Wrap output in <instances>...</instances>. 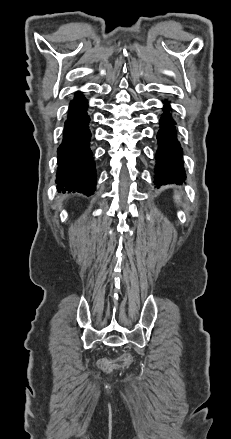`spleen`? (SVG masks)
Segmentation results:
<instances>
[{"instance_id": "spleen-1", "label": "spleen", "mask_w": 231, "mask_h": 439, "mask_svg": "<svg viewBox=\"0 0 231 439\" xmlns=\"http://www.w3.org/2000/svg\"><path fill=\"white\" fill-rule=\"evenodd\" d=\"M175 199L176 200H179L180 199V196L177 194V195H175Z\"/></svg>"}]
</instances>
